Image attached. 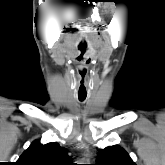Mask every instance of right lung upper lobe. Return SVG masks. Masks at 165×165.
Listing matches in <instances>:
<instances>
[{
	"label": "right lung upper lobe",
	"instance_id": "obj_1",
	"mask_svg": "<svg viewBox=\"0 0 165 165\" xmlns=\"http://www.w3.org/2000/svg\"><path fill=\"white\" fill-rule=\"evenodd\" d=\"M17 165H75L66 149L56 142L41 144L35 140L20 156Z\"/></svg>",
	"mask_w": 165,
	"mask_h": 165
}]
</instances>
